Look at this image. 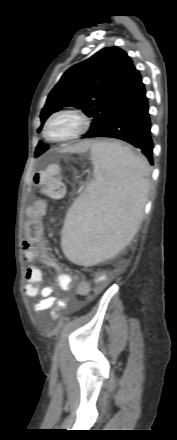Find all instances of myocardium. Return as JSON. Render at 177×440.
Instances as JSON below:
<instances>
[{"mask_svg": "<svg viewBox=\"0 0 177 440\" xmlns=\"http://www.w3.org/2000/svg\"><path fill=\"white\" fill-rule=\"evenodd\" d=\"M61 116L71 117L76 120L77 126L68 134L61 137H51L49 135V127L52 122ZM90 126V121L85 114L75 109H61L53 112L45 121L42 128V136L45 140L52 143H62L76 140L82 137Z\"/></svg>", "mask_w": 177, "mask_h": 440, "instance_id": "obj_1", "label": "myocardium"}]
</instances>
